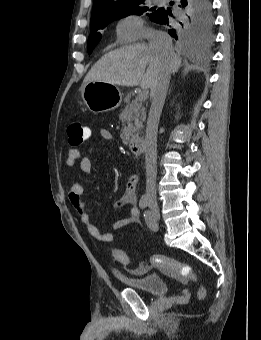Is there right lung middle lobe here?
<instances>
[{
  "mask_svg": "<svg viewBox=\"0 0 261 340\" xmlns=\"http://www.w3.org/2000/svg\"><path fill=\"white\" fill-rule=\"evenodd\" d=\"M143 1L134 3L123 8L118 14L114 16L105 17L95 22H91L90 36L88 39V54H91L95 45L101 40L102 34L100 30L105 28L110 22L128 15H141L145 11H151L147 15L153 20L159 13V8L153 7H139ZM213 16L210 11H205L198 8H187L181 11L176 18L175 29L172 33L175 34L176 39L187 41L207 40L212 36Z\"/></svg>",
  "mask_w": 261,
  "mask_h": 340,
  "instance_id": "obj_1",
  "label": "right lung middle lobe"
}]
</instances>
